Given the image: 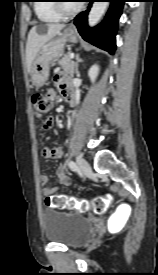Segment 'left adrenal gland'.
Instances as JSON below:
<instances>
[{
	"label": "left adrenal gland",
	"mask_w": 158,
	"mask_h": 275,
	"mask_svg": "<svg viewBox=\"0 0 158 275\" xmlns=\"http://www.w3.org/2000/svg\"><path fill=\"white\" fill-rule=\"evenodd\" d=\"M76 60H77V62H76L75 73H78L79 72L78 71V65H79L80 62H83V59L80 58L79 54H76Z\"/></svg>",
	"instance_id": "a2214340"
}]
</instances>
